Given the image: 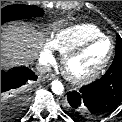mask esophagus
Returning <instances> with one entry per match:
<instances>
[{"label": "esophagus", "mask_w": 122, "mask_h": 122, "mask_svg": "<svg viewBox=\"0 0 122 122\" xmlns=\"http://www.w3.org/2000/svg\"><path fill=\"white\" fill-rule=\"evenodd\" d=\"M45 78H46L47 80H53V79L56 78V76H55L54 74H47V75H45Z\"/></svg>", "instance_id": "obj_1"}]
</instances>
